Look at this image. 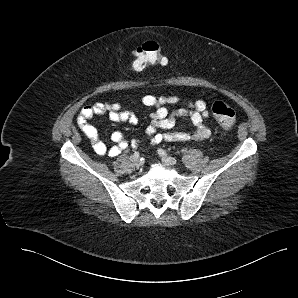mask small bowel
Masks as SVG:
<instances>
[{
    "mask_svg": "<svg viewBox=\"0 0 298 298\" xmlns=\"http://www.w3.org/2000/svg\"><path fill=\"white\" fill-rule=\"evenodd\" d=\"M139 102L147 107H154L155 110L150 115V123L146 128V134L150 138L151 144L162 142H192L207 139L211 135V130L205 125V120L209 115L208 105L202 100L194 102H182L178 95L155 96L145 95ZM178 109L169 112L168 106H178ZM107 114L113 122H127L131 125L138 123V117L131 111L123 110L120 103L98 102L84 106L77 115V124L85 136L91 141L92 148L100 156L116 157L129 146L124 135L119 131L111 133L112 146H108L99 139L98 130L90 121L99 115ZM187 116L191 119L194 130L191 132H174L179 117ZM139 140L131 141L132 146H138Z\"/></svg>",
    "mask_w": 298,
    "mask_h": 298,
    "instance_id": "obj_1",
    "label": "small bowel"
}]
</instances>
